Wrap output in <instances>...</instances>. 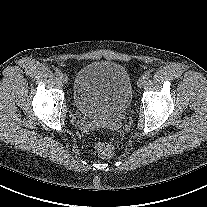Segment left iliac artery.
<instances>
[{"label": "left iliac artery", "instance_id": "1", "mask_svg": "<svg viewBox=\"0 0 207 207\" xmlns=\"http://www.w3.org/2000/svg\"><path fill=\"white\" fill-rule=\"evenodd\" d=\"M144 77L149 79L151 77V73L149 71L145 72Z\"/></svg>", "mask_w": 207, "mask_h": 207}]
</instances>
